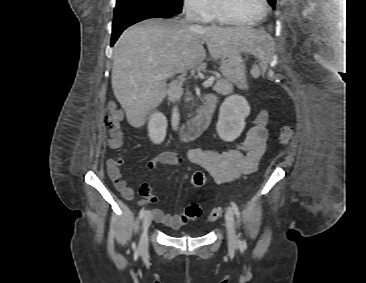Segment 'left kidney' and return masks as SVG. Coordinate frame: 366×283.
<instances>
[{
  "label": "left kidney",
  "instance_id": "obj_1",
  "mask_svg": "<svg viewBox=\"0 0 366 283\" xmlns=\"http://www.w3.org/2000/svg\"><path fill=\"white\" fill-rule=\"evenodd\" d=\"M249 114L250 106L244 97H227L220 107L216 125L219 137L226 142L237 139L245 128V119Z\"/></svg>",
  "mask_w": 366,
  "mask_h": 283
}]
</instances>
